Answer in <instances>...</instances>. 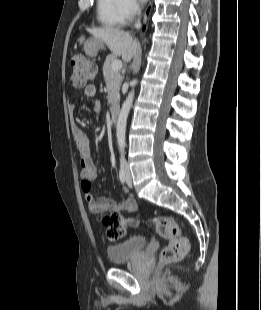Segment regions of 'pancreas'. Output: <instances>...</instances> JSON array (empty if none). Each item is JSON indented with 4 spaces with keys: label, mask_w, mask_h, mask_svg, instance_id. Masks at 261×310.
Returning <instances> with one entry per match:
<instances>
[{
    "label": "pancreas",
    "mask_w": 261,
    "mask_h": 310,
    "mask_svg": "<svg viewBox=\"0 0 261 310\" xmlns=\"http://www.w3.org/2000/svg\"><path fill=\"white\" fill-rule=\"evenodd\" d=\"M116 60L114 55L107 56L103 65V75L106 83L107 99L110 104L118 101L120 85L123 80L119 71L112 70V63Z\"/></svg>",
    "instance_id": "cf45deb5"
}]
</instances>
